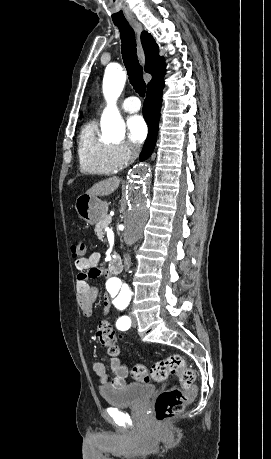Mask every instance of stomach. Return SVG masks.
Returning a JSON list of instances; mask_svg holds the SVG:
<instances>
[{"mask_svg": "<svg viewBox=\"0 0 271 459\" xmlns=\"http://www.w3.org/2000/svg\"><path fill=\"white\" fill-rule=\"evenodd\" d=\"M75 210L79 218L85 220L90 226H94V224H98V222L104 220L105 216H107L108 208L105 202L84 194V196L77 198Z\"/></svg>", "mask_w": 271, "mask_h": 459, "instance_id": "obj_1", "label": "stomach"}]
</instances>
